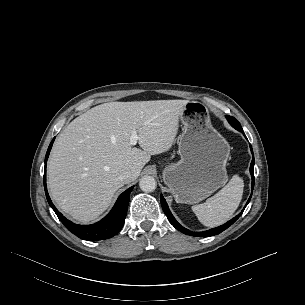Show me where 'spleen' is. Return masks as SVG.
Listing matches in <instances>:
<instances>
[{
	"label": "spleen",
	"instance_id": "obj_1",
	"mask_svg": "<svg viewBox=\"0 0 305 305\" xmlns=\"http://www.w3.org/2000/svg\"><path fill=\"white\" fill-rule=\"evenodd\" d=\"M244 182L238 175L203 204L192 206L198 220L207 227H215L228 221L238 208L243 195Z\"/></svg>",
	"mask_w": 305,
	"mask_h": 305
}]
</instances>
